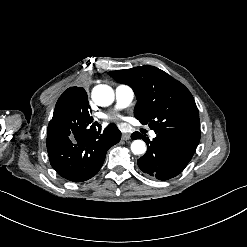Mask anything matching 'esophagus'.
<instances>
[{
	"instance_id": "34e87169",
	"label": "esophagus",
	"mask_w": 247,
	"mask_h": 247,
	"mask_svg": "<svg viewBox=\"0 0 247 247\" xmlns=\"http://www.w3.org/2000/svg\"><path fill=\"white\" fill-rule=\"evenodd\" d=\"M122 139L123 140H129L130 139V134L129 133H123L122 134Z\"/></svg>"
}]
</instances>
